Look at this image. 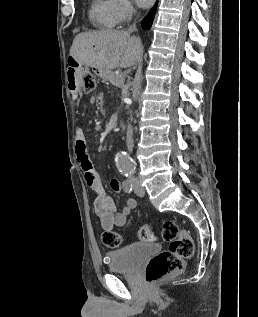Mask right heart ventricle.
I'll return each instance as SVG.
<instances>
[{
	"label": "right heart ventricle",
	"instance_id": "right-heart-ventricle-1",
	"mask_svg": "<svg viewBox=\"0 0 258 317\" xmlns=\"http://www.w3.org/2000/svg\"><path fill=\"white\" fill-rule=\"evenodd\" d=\"M114 4L115 0H93L89 9L91 23L102 30L116 26Z\"/></svg>",
	"mask_w": 258,
	"mask_h": 317
}]
</instances>
